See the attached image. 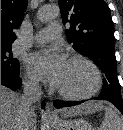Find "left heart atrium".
Masks as SVG:
<instances>
[{
    "instance_id": "left-heart-atrium-1",
    "label": "left heart atrium",
    "mask_w": 123,
    "mask_h": 130,
    "mask_svg": "<svg viewBox=\"0 0 123 130\" xmlns=\"http://www.w3.org/2000/svg\"><path fill=\"white\" fill-rule=\"evenodd\" d=\"M63 54L55 48L31 54L28 59L30 71L39 79L56 85L66 65Z\"/></svg>"
}]
</instances>
